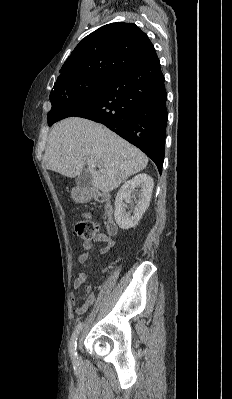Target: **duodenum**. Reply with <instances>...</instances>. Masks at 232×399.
I'll return each instance as SVG.
<instances>
[{
  "label": "duodenum",
  "instance_id": "1",
  "mask_svg": "<svg viewBox=\"0 0 232 399\" xmlns=\"http://www.w3.org/2000/svg\"><path fill=\"white\" fill-rule=\"evenodd\" d=\"M79 197H80L81 201H83V202H89V201H92L93 199H102V200H104L106 202L105 210H106V213H107V215L109 217V220H108V232L111 235L115 234V232H116V224L114 223V221L111 218L112 207H111L110 203L108 202V197L107 196H97L94 193V191H92L91 189H87V188L81 189L79 191Z\"/></svg>",
  "mask_w": 232,
  "mask_h": 399
}]
</instances>
